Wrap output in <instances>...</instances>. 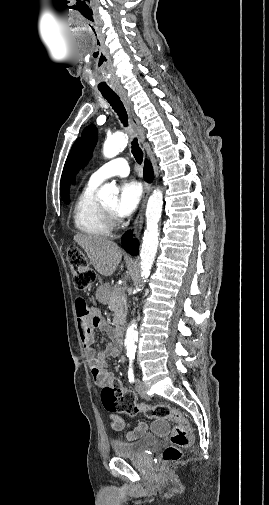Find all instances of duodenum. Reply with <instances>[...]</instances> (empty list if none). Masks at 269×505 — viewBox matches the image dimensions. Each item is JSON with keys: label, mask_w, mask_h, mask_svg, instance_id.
<instances>
[{"label": "duodenum", "mask_w": 269, "mask_h": 505, "mask_svg": "<svg viewBox=\"0 0 269 505\" xmlns=\"http://www.w3.org/2000/svg\"><path fill=\"white\" fill-rule=\"evenodd\" d=\"M114 338L118 346H121L123 344L124 326L122 324L117 325L114 329Z\"/></svg>", "instance_id": "410a0bca"}]
</instances>
